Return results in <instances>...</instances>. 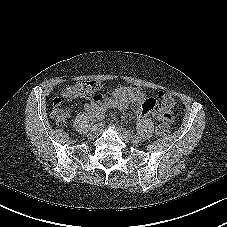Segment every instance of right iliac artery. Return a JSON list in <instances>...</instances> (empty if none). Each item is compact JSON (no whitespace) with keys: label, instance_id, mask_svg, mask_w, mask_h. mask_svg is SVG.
<instances>
[{"label":"right iliac artery","instance_id":"obj_1","mask_svg":"<svg viewBox=\"0 0 227 227\" xmlns=\"http://www.w3.org/2000/svg\"><path fill=\"white\" fill-rule=\"evenodd\" d=\"M103 113H98V114H96V115H94V120H93V126H98V124H99V122L98 121H100V119L101 118H103Z\"/></svg>","mask_w":227,"mask_h":227}]
</instances>
